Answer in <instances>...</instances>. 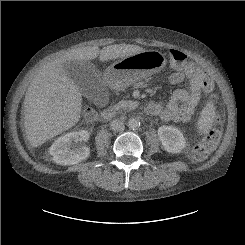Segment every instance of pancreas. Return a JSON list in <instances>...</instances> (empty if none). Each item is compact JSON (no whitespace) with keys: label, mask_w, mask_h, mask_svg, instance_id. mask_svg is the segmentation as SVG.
<instances>
[{"label":"pancreas","mask_w":245,"mask_h":245,"mask_svg":"<svg viewBox=\"0 0 245 245\" xmlns=\"http://www.w3.org/2000/svg\"><path fill=\"white\" fill-rule=\"evenodd\" d=\"M138 105V102L131 101V100H121L116 105V109H124V110H131L136 108Z\"/></svg>","instance_id":"pancreas-1"}]
</instances>
